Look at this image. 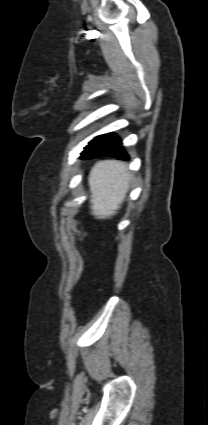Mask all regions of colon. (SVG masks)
<instances>
[{"label": "colon", "instance_id": "1", "mask_svg": "<svg viewBox=\"0 0 208 425\" xmlns=\"http://www.w3.org/2000/svg\"><path fill=\"white\" fill-rule=\"evenodd\" d=\"M75 233H78V229L76 227L73 228Z\"/></svg>", "mask_w": 208, "mask_h": 425}]
</instances>
